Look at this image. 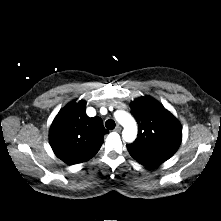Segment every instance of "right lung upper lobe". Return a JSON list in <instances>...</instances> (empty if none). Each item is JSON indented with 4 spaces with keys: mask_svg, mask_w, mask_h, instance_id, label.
I'll use <instances>...</instances> for the list:
<instances>
[{
    "mask_svg": "<svg viewBox=\"0 0 221 221\" xmlns=\"http://www.w3.org/2000/svg\"><path fill=\"white\" fill-rule=\"evenodd\" d=\"M86 102H71L59 111L49 134L50 145L56 156L69 165L91 159L100 149L103 136L109 133L103 121L86 115Z\"/></svg>",
    "mask_w": 221,
    "mask_h": 221,
    "instance_id": "obj_1",
    "label": "right lung upper lobe"
}]
</instances>
